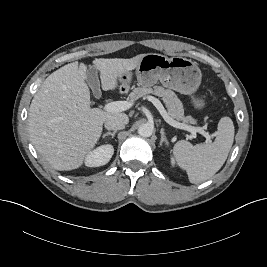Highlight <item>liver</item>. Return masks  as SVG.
<instances>
[{
    "instance_id": "6515ba94",
    "label": "liver",
    "mask_w": 267,
    "mask_h": 267,
    "mask_svg": "<svg viewBox=\"0 0 267 267\" xmlns=\"http://www.w3.org/2000/svg\"><path fill=\"white\" fill-rule=\"evenodd\" d=\"M142 55L130 59H96L102 89L115 90L119 76L134 70ZM85 65L67 64L49 75L35 94L29 109L28 131L37 152L56 170L79 168L95 147L103 123L128 117L90 107Z\"/></svg>"
}]
</instances>
